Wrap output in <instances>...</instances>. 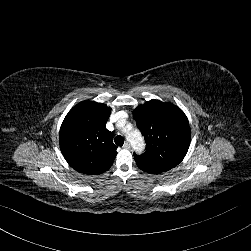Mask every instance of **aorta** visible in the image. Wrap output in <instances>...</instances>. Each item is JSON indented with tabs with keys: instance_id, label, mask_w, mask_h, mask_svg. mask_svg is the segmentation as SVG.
<instances>
[{
	"instance_id": "aorta-1",
	"label": "aorta",
	"mask_w": 251,
	"mask_h": 251,
	"mask_svg": "<svg viewBox=\"0 0 251 251\" xmlns=\"http://www.w3.org/2000/svg\"><path fill=\"white\" fill-rule=\"evenodd\" d=\"M128 140L132 145L135 147V149L139 150V148L142 147V138L141 134L138 131H133L128 135Z\"/></svg>"
}]
</instances>
